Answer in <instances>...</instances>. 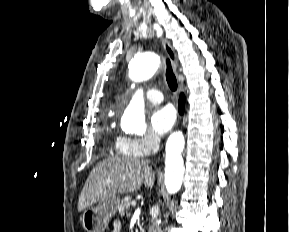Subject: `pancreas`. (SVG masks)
<instances>
[{
	"label": "pancreas",
	"mask_w": 289,
	"mask_h": 232,
	"mask_svg": "<svg viewBox=\"0 0 289 232\" xmlns=\"http://www.w3.org/2000/svg\"><path fill=\"white\" fill-rule=\"evenodd\" d=\"M131 204H132L131 197L130 196L124 197L118 206L119 214L123 216Z\"/></svg>",
	"instance_id": "obj_1"
}]
</instances>
